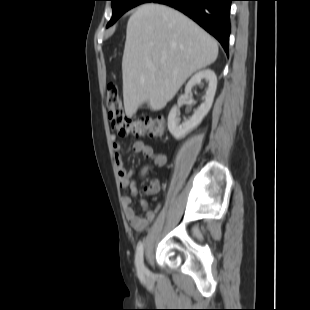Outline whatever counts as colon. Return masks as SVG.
<instances>
[{"instance_id": "colon-1", "label": "colon", "mask_w": 310, "mask_h": 310, "mask_svg": "<svg viewBox=\"0 0 310 310\" xmlns=\"http://www.w3.org/2000/svg\"><path fill=\"white\" fill-rule=\"evenodd\" d=\"M107 108L112 128L116 129L121 135L134 134L158 137L165 130V120L161 116H128L124 111L118 87L114 83L107 86ZM146 188L152 192L154 186L148 185Z\"/></svg>"}]
</instances>
